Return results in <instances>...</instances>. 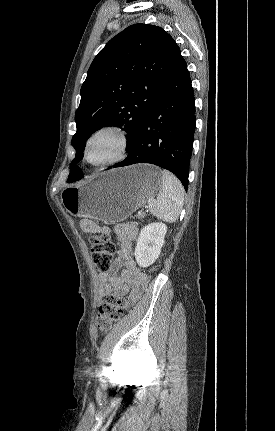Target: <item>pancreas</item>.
<instances>
[{
  "label": "pancreas",
  "instance_id": "obj_1",
  "mask_svg": "<svg viewBox=\"0 0 275 431\" xmlns=\"http://www.w3.org/2000/svg\"><path fill=\"white\" fill-rule=\"evenodd\" d=\"M146 215L143 213V214H138L137 215V217L139 218V219H143L144 217H145Z\"/></svg>",
  "mask_w": 275,
  "mask_h": 431
}]
</instances>
